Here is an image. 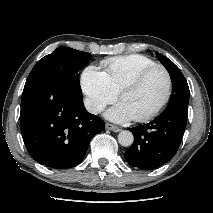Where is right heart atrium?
Segmentation results:
<instances>
[{
	"instance_id": "d8ad5b80",
	"label": "right heart atrium",
	"mask_w": 213,
	"mask_h": 213,
	"mask_svg": "<svg viewBox=\"0 0 213 213\" xmlns=\"http://www.w3.org/2000/svg\"><path fill=\"white\" fill-rule=\"evenodd\" d=\"M80 84L86 107L91 113L101 112L117 98V93L111 88L104 72L96 66L90 65L83 70Z\"/></svg>"
}]
</instances>
